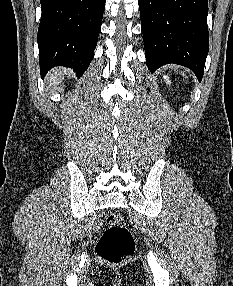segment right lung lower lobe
I'll return each instance as SVG.
<instances>
[{
    "label": "right lung lower lobe",
    "mask_w": 233,
    "mask_h": 286,
    "mask_svg": "<svg viewBox=\"0 0 233 286\" xmlns=\"http://www.w3.org/2000/svg\"><path fill=\"white\" fill-rule=\"evenodd\" d=\"M105 0H41L38 29L41 76L55 66L71 67L78 76L93 59Z\"/></svg>",
    "instance_id": "right-lung-lower-lobe-1"
}]
</instances>
